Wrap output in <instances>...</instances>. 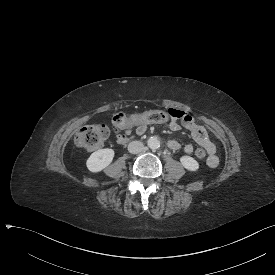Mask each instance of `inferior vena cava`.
<instances>
[{"label":"inferior vena cava","instance_id":"inferior-vena-cava-1","mask_svg":"<svg viewBox=\"0 0 275 275\" xmlns=\"http://www.w3.org/2000/svg\"><path fill=\"white\" fill-rule=\"evenodd\" d=\"M144 149V145L141 141H132L128 145V151L132 154H138L142 152Z\"/></svg>","mask_w":275,"mask_h":275}]
</instances>
